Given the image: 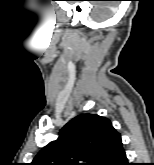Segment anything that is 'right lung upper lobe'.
<instances>
[{"mask_svg":"<svg viewBox=\"0 0 154 165\" xmlns=\"http://www.w3.org/2000/svg\"><path fill=\"white\" fill-rule=\"evenodd\" d=\"M119 133L109 119L81 114L69 121L34 158L31 165H97Z\"/></svg>","mask_w":154,"mask_h":165,"instance_id":"cb5924a9","label":"right lung upper lobe"}]
</instances>
